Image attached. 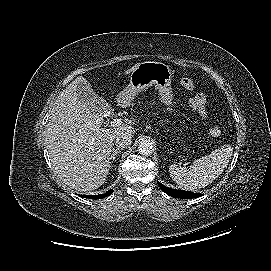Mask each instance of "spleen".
<instances>
[{
  "instance_id": "spleen-1",
  "label": "spleen",
  "mask_w": 271,
  "mask_h": 271,
  "mask_svg": "<svg viewBox=\"0 0 271 271\" xmlns=\"http://www.w3.org/2000/svg\"><path fill=\"white\" fill-rule=\"evenodd\" d=\"M232 150V146L224 145L211 154L196 159L190 166L172 164L169 167L170 176L187 190L204 188L222 174L232 156Z\"/></svg>"
}]
</instances>
